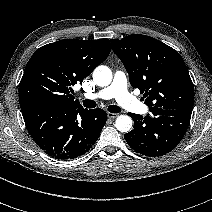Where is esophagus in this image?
Here are the masks:
<instances>
[{
  "instance_id": "obj_1",
  "label": "esophagus",
  "mask_w": 212,
  "mask_h": 212,
  "mask_svg": "<svg viewBox=\"0 0 212 212\" xmlns=\"http://www.w3.org/2000/svg\"><path fill=\"white\" fill-rule=\"evenodd\" d=\"M107 115H108V117H109L110 119H114V118H116V117L118 116V114H116V113H111V112H109Z\"/></svg>"
}]
</instances>
